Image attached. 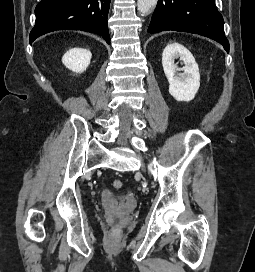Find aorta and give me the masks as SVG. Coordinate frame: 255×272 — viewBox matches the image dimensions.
Here are the masks:
<instances>
[{
  "mask_svg": "<svg viewBox=\"0 0 255 272\" xmlns=\"http://www.w3.org/2000/svg\"><path fill=\"white\" fill-rule=\"evenodd\" d=\"M156 4L157 0H137V9L142 16H145Z\"/></svg>",
  "mask_w": 255,
  "mask_h": 272,
  "instance_id": "obj_1",
  "label": "aorta"
}]
</instances>
